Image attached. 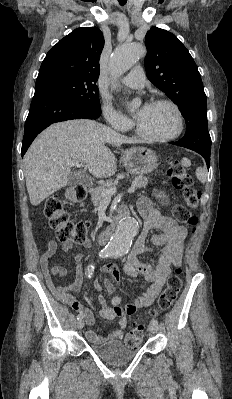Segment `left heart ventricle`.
Returning <instances> with one entry per match:
<instances>
[{"instance_id":"left-heart-ventricle-1","label":"left heart ventricle","mask_w":232,"mask_h":399,"mask_svg":"<svg viewBox=\"0 0 232 399\" xmlns=\"http://www.w3.org/2000/svg\"><path fill=\"white\" fill-rule=\"evenodd\" d=\"M140 129L152 137H164L173 134L178 127L176 112L169 105L145 106L135 113Z\"/></svg>"}]
</instances>
